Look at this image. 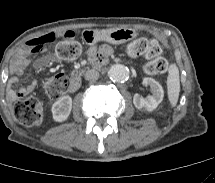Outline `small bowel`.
<instances>
[{
	"label": "small bowel",
	"mask_w": 215,
	"mask_h": 183,
	"mask_svg": "<svg viewBox=\"0 0 215 183\" xmlns=\"http://www.w3.org/2000/svg\"><path fill=\"white\" fill-rule=\"evenodd\" d=\"M68 32L71 31H66V32H49L46 33L42 36H39L37 38H34L28 42V45L20 52L18 59L14 63L11 72L13 76L9 80V89H8V97L10 100L14 101L20 97L25 96L27 93L31 92L35 88V82L31 81L27 84H21L20 80L18 79V76L22 75L26 69L30 66H38V67H45L52 65L56 62H58V59L53 56V55H41L35 60L31 61L27 59L28 54L30 53H38L42 52L45 48L41 49L38 52H34L33 48L34 46L39 43V42H46L47 46L50 45L56 38L63 34H67ZM104 51H108L106 47L102 48ZM88 54L91 57L96 56L97 54V48L96 47H91L88 51ZM18 85L17 91L13 90V86Z\"/></svg>",
	"instance_id": "c3829d8e"
}]
</instances>
